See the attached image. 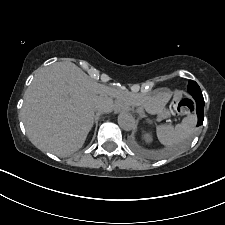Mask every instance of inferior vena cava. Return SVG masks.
<instances>
[{
	"instance_id": "1",
	"label": "inferior vena cava",
	"mask_w": 225,
	"mask_h": 225,
	"mask_svg": "<svg viewBox=\"0 0 225 225\" xmlns=\"http://www.w3.org/2000/svg\"><path fill=\"white\" fill-rule=\"evenodd\" d=\"M97 110L103 111L104 109L101 106H98Z\"/></svg>"
}]
</instances>
